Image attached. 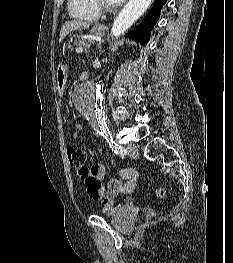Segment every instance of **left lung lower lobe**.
Returning a JSON list of instances; mask_svg holds the SVG:
<instances>
[{
	"label": "left lung lower lobe",
	"mask_w": 233,
	"mask_h": 263,
	"mask_svg": "<svg viewBox=\"0 0 233 263\" xmlns=\"http://www.w3.org/2000/svg\"><path fill=\"white\" fill-rule=\"evenodd\" d=\"M166 1L167 0H155L152 9L147 14L142 23L134 30L126 34V36L134 39L136 42L141 43L142 45L147 44L151 30L158 21L161 8L166 3Z\"/></svg>",
	"instance_id": "1"
}]
</instances>
